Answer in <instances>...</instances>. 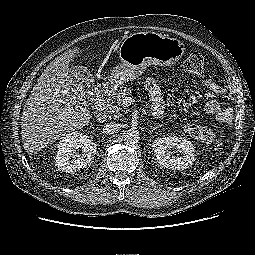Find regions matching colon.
I'll return each instance as SVG.
<instances>
[{
    "instance_id": "colon-1",
    "label": "colon",
    "mask_w": 255,
    "mask_h": 255,
    "mask_svg": "<svg viewBox=\"0 0 255 255\" xmlns=\"http://www.w3.org/2000/svg\"><path fill=\"white\" fill-rule=\"evenodd\" d=\"M203 68L204 58L198 52L190 54L183 62L184 72L191 77L199 76L202 73ZM214 104L217 103L213 101L210 106H213ZM185 131L196 141L202 143H211L216 138V134L212 129L198 124H187Z\"/></svg>"
}]
</instances>
